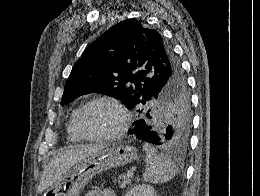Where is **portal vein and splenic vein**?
Here are the masks:
<instances>
[{
    "label": "portal vein and splenic vein",
    "mask_w": 260,
    "mask_h": 196,
    "mask_svg": "<svg viewBox=\"0 0 260 196\" xmlns=\"http://www.w3.org/2000/svg\"><path fill=\"white\" fill-rule=\"evenodd\" d=\"M133 176V170H129V172H127V178H133Z\"/></svg>",
    "instance_id": "portal-vein-and-splenic-vein-1"
}]
</instances>
